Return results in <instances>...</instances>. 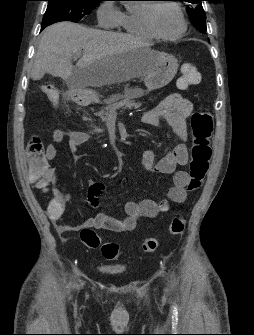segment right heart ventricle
Masks as SVG:
<instances>
[{"mask_svg": "<svg viewBox=\"0 0 254 335\" xmlns=\"http://www.w3.org/2000/svg\"><path fill=\"white\" fill-rule=\"evenodd\" d=\"M148 4H142L137 11L122 12L118 26L126 33L144 39H153L143 21V10Z\"/></svg>", "mask_w": 254, "mask_h": 335, "instance_id": "obj_1", "label": "right heart ventricle"}]
</instances>
